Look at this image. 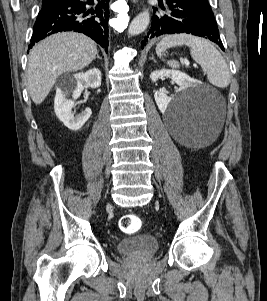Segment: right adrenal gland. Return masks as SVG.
Instances as JSON below:
<instances>
[{"label":"right adrenal gland","mask_w":267,"mask_h":301,"mask_svg":"<svg viewBox=\"0 0 267 301\" xmlns=\"http://www.w3.org/2000/svg\"><path fill=\"white\" fill-rule=\"evenodd\" d=\"M96 58L101 60V57L99 56V54H98V53H97V56H96Z\"/></svg>","instance_id":"obj_1"}]
</instances>
